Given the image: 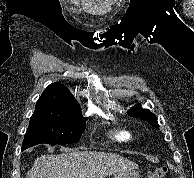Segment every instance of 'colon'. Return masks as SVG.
<instances>
[{"mask_svg": "<svg viewBox=\"0 0 194 178\" xmlns=\"http://www.w3.org/2000/svg\"><path fill=\"white\" fill-rule=\"evenodd\" d=\"M167 177V168L158 167L150 173V178H166Z\"/></svg>", "mask_w": 194, "mask_h": 178, "instance_id": "1", "label": "colon"}]
</instances>
